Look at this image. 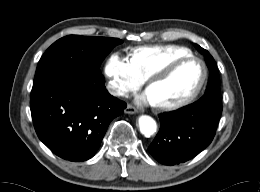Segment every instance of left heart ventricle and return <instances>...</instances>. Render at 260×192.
<instances>
[{
	"label": "left heart ventricle",
	"mask_w": 260,
	"mask_h": 192,
	"mask_svg": "<svg viewBox=\"0 0 260 192\" xmlns=\"http://www.w3.org/2000/svg\"><path fill=\"white\" fill-rule=\"evenodd\" d=\"M200 68L189 62L178 67L168 77L154 83L150 94L157 101H168L188 94L197 84Z\"/></svg>",
	"instance_id": "b2bd125f"
}]
</instances>
